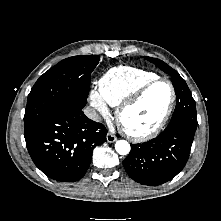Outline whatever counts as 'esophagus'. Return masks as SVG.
Wrapping results in <instances>:
<instances>
[{
    "label": "esophagus",
    "mask_w": 221,
    "mask_h": 221,
    "mask_svg": "<svg viewBox=\"0 0 221 221\" xmlns=\"http://www.w3.org/2000/svg\"><path fill=\"white\" fill-rule=\"evenodd\" d=\"M106 140L109 142V143H114L115 141H117V137L115 135H113L112 133H108L106 135Z\"/></svg>",
    "instance_id": "esophagus-1"
}]
</instances>
